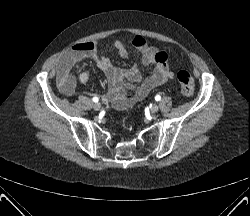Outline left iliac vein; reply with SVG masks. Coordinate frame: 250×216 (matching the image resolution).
Wrapping results in <instances>:
<instances>
[{
    "mask_svg": "<svg viewBox=\"0 0 250 216\" xmlns=\"http://www.w3.org/2000/svg\"><path fill=\"white\" fill-rule=\"evenodd\" d=\"M158 110H159V106H158L157 104H153V105L150 107V112H151V113H156Z\"/></svg>",
    "mask_w": 250,
    "mask_h": 216,
    "instance_id": "left-iliac-vein-1",
    "label": "left iliac vein"
}]
</instances>
